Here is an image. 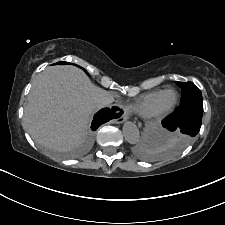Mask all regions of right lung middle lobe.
I'll list each match as a JSON object with an SVG mask.
<instances>
[{
	"mask_svg": "<svg viewBox=\"0 0 225 225\" xmlns=\"http://www.w3.org/2000/svg\"><path fill=\"white\" fill-rule=\"evenodd\" d=\"M56 64L64 65V64H69L68 62H58Z\"/></svg>",
	"mask_w": 225,
	"mask_h": 225,
	"instance_id": "right-lung-middle-lobe-1",
	"label": "right lung middle lobe"
}]
</instances>
